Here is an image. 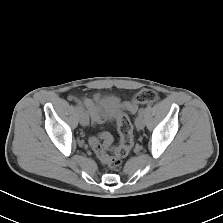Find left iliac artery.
I'll return each mask as SVG.
<instances>
[{"label":"left iliac artery","mask_w":223,"mask_h":223,"mask_svg":"<svg viewBox=\"0 0 223 223\" xmlns=\"http://www.w3.org/2000/svg\"><path fill=\"white\" fill-rule=\"evenodd\" d=\"M144 111H145L144 108H140L138 111V115L142 116L144 114Z\"/></svg>","instance_id":"44dca946"}]
</instances>
